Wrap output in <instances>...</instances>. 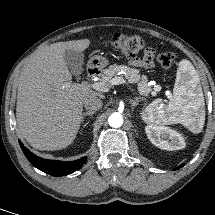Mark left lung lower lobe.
I'll return each mask as SVG.
<instances>
[{
  "mask_svg": "<svg viewBox=\"0 0 215 215\" xmlns=\"http://www.w3.org/2000/svg\"><path fill=\"white\" fill-rule=\"evenodd\" d=\"M180 167H183V165H181V166L177 167L175 170L179 169Z\"/></svg>",
  "mask_w": 215,
  "mask_h": 215,
  "instance_id": "0a47b994",
  "label": "left lung lower lobe"
}]
</instances>
